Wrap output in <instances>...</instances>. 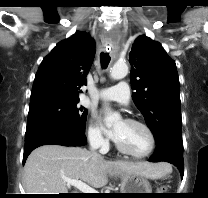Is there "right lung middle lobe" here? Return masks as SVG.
I'll list each match as a JSON object with an SVG mask.
<instances>
[{"label": "right lung middle lobe", "instance_id": "1", "mask_svg": "<svg viewBox=\"0 0 208 198\" xmlns=\"http://www.w3.org/2000/svg\"><path fill=\"white\" fill-rule=\"evenodd\" d=\"M79 100H57L29 107L27 129L46 123H63L85 133L87 110Z\"/></svg>", "mask_w": 208, "mask_h": 198}]
</instances>
